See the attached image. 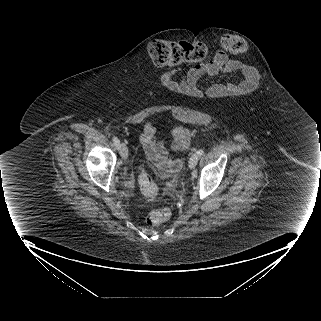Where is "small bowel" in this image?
<instances>
[{
  "mask_svg": "<svg viewBox=\"0 0 321 321\" xmlns=\"http://www.w3.org/2000/svg\"><path fill=\"white\" fill-rule=\"evenodd\" d=\"M242 69L245 73L243 78H235L230 84L225 82L206 83L203 87L197 85L198 80L204 75H215L222 71ZM164 80L168 87L173 90L185 91L189 96L197 100H203L206 96H214L221 99L223 96L231 97L240 95L242 92L253 91L261 82V77L251 66L240 64L230 58L223 50H218L213 59L204 64L191 67L186 73L177 77V71L165 73ZM157 128L152 122H146L139 134V140L147 157L153 160L163 175L178 172L182 167L179 158L172 157L168 148L161 141L156 140ZM171 150L181 152L190 145L191 133L183 126L175 127L171 133Z\"/></svg>",
  "mask_w": 321,
  "mask_h": 321,
  "instance_id": "small-bowel-1",
  "label": "small bowel"
}]
</instances>
